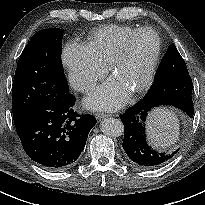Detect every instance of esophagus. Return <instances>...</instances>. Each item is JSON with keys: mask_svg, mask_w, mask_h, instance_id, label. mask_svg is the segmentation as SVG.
Here are the masks:
<instances>
[{"mask_svg": "<svg viewBox=\"0 0 205 205\" xmlns=\"http://www.w3.org/2000/svg\"><path fill=\"white\" fill-rule=\"evenodd\" d=\"M111 115L110 114H104V113H96L95 114V117L97 120H101V119H104L106 117H110Z\"/></svg>", "mask_w": 205, "mask_h": 205, "instance_id": "esophagus-1", "label": "esophagus"}]
</instances>
